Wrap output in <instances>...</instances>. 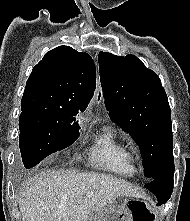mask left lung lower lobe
I'll use <instances>...</instances> for the list:
<instances>
[{
    "mask_svg": "<svg viewBox=\"0 0 190 221\" xmlns=\"http://www.w3.org/2000/svg\"><path fill=\"white\" fill-rule=\"evenodd\" d=\"M174 163L168 166L157 178L150 181L145 187L158 199V206L166 203L173 190Z\"/></svg>",
    "mask_w": 190,
    "mask_h": 221,
    "instance_id": "obj_1",
    "label": "left lung lower lobe"
}]
</instances>
